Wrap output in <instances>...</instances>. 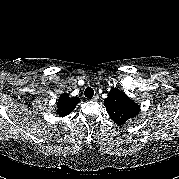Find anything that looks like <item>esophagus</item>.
Listing matches in <instances>:
<instances>
[{
	"mask_svg": "<svg viewBox=\"0 0 179 179\" xmlns=\"http://www.w3.org/2000/svg\"><path fill=\"white\" fill-rule=\"evenodd\" d=\"M98 99H99V96H98V95H95V96H93V98H92L93 101H97Z\"/></svg>",
	"mask_w": 179,
	"mask_h": 179,
	"instance_id": "1",
	"label": "esophagus"
}]
</instances>
